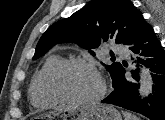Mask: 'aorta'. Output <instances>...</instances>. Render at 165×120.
<instances>
[{"label": "aorta", "mask_w": 165, "mask_h": 120, "mask_svg": "<svg viewBox=\"0 0 165 120\" xmlns=\"http://www.w3.org/2000/svg\"><path fill=\"white\" fill-rule=\"evenodd\" d=\"M152 76L150 71L143 67L140 71V87H139V94L141 97L148 96L152 91Z\"/></svg>", "instance_id": "aorta-1"}]
</instances>
